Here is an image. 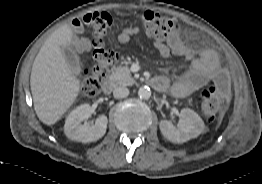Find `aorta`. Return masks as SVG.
Segmentation results:
<instances>
[{"instance_id": "762f6f07", "label": "aorta", "mask_w": 262, "mask_h": 184, "mask_svg": "<svg viewBox=\"0 0 262 184\" xmlns=\"http://www.w3.org/2000/svg\"><path fill=\"white\" fill-rule=\"evenodd\" d=\"M138 96L141 98V99H149L151 97V90L149 87H140L139 90H138Z\"/></svg>"}]
</instances>
